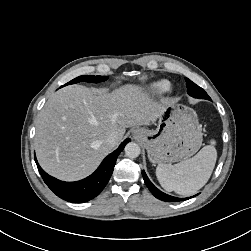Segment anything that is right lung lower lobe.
Here are the masks:
<instances>
[{"label":"right lung lower lobe","instance_id":"obj_1","mask_svg":"<svg viewBox=\"0 0 251 251\" xmlns=\"http://www.w3.org/2000/svg\"><path fill=\"white\" fill-rule=\"evenodd\" d=\"M130 139L124 140L118 149L109 154L97 170L89 177L77 182H63L48 175L38 164L35 157L39 173L46 185L60 198L72 203H84L98 196L108 183L116 159Z\"/></svg>","mask_w":251,"mask_h":251}]
</instances>
